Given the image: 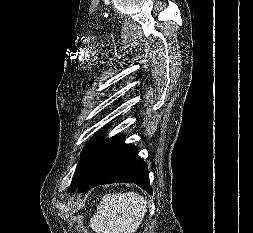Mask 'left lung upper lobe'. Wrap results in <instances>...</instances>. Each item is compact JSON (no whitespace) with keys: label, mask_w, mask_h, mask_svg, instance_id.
Returning <instances> with one entry per match:
<instances>
[{"label":"left lung upper lobe","mask_w":253,"mask_h":233,"mask_svg":"<svg viewBox=\"0 0 253 233\" xmlns=\"http://www.w3.org/2000/svg\"><path fill=\"white\" fill-rule=\"evenodd\" d=\"M108 128L109 126L103 128L102 131L94 135L84 147L81 154L80 162L77 165L70 187L75 186L76 184L81 182L92 169L102 148L109 140L108 138L104 139Z\"/></svg>","instance_id":"1"}]
</instances>
